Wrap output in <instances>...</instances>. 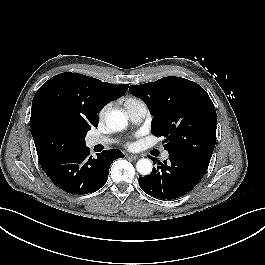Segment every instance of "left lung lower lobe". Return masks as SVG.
<instances>
[{"instance_id": "obj_1", "label": "left lung lower lobe", "mask_w": 265, "mask_h": 265, "mask_svg": "<svg viewBox=\"0 0 265 265\" xmlns=\"http://www.w3.org/2000/svg\"><path fill=\"white\" fill-rule=\"evenodd\" d=\"M151 159L156 163L155 158ZM157 164L150 175L139 178V185L145 193L167 200L179 198L191 191L207 171V168L192 161L170 156L169 160Z\"/></svg>"}]
</instances>
